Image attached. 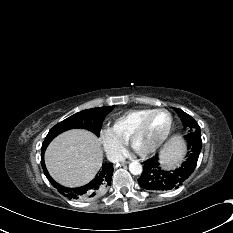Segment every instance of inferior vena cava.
Returning <instances> with one entry per match:
<instances>
[{"label": "inferior vena cava", "instance_id": "1", "mask_svg": "<svg viewBox=\"0 0 233 233\" xmlns=\"http://www.w3.org/2000/svg\"><path fill=\"white\" fill-rule=\"evenodd\" d=\"M107 159L112 163H117L123 161L125 158L120 153H109Z\"/></svg>", "mask_w": 233, "mask_h": 233}]
</instances>
